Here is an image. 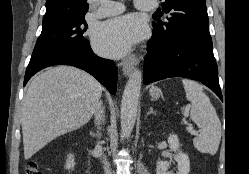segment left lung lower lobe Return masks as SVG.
I'll return each mask as SVG.
<instances>
[{
  "instance_id": "1",
  "label": "left lung lower lobe",
  "mask_w": 249,
  "mask_h": 174,
  "mask_svg": "<svg viewBox=\"0 0 249 174\" xmlns=\"http://www.w3.org/2000/svg\"><path fill=\"white\" fill-rule=\"evenodd\" d=\"M171 77L200 81L222 100L212 39L167 44L153 36L144 59V84Z\"/></svg>"
}]
</instances>
